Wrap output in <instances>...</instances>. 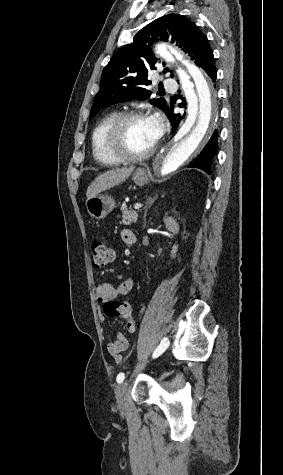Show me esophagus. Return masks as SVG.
Here are the masks:
<instances>
[{
    "label": "esophagus",
    "instance_id": "34e87169",
    "mask_svg": "<svg viewBox=\"0 0 283 475\" xmlns=\"http://www.w3.org/2000/svg\"><path fill=\"white\" fill-rule=\"evenodd\" d=\"M159 161H160V157L157 156V157L155 158L154 162H159Z\"/></svg>",
    "mask_w": 283,
    "mask_h": 475
}]
</instances>
